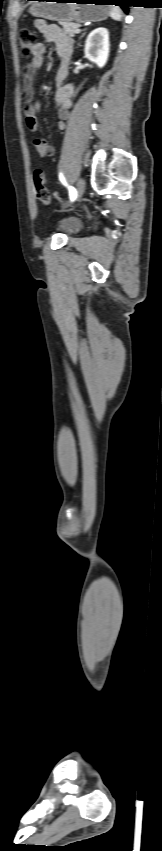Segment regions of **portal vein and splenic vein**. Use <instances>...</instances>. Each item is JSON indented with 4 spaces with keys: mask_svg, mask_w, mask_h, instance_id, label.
<instances>
[{
    "mask_svg": "<svg viewBox=\"0 0 162 851\" xmlns=\"http://www.w3.org/2000/svg\"><path fill=\"white\" fill-rule=\"evenodd\" d=\"M79 32H81V30H79V29H78V30H77V33H79Z\"/></svg>",
    "mask_w": 162,
    "mask_h": 851,
    "instance_id": "1",
    "label": "portal vein and splenic vein"
}]
</instances>
